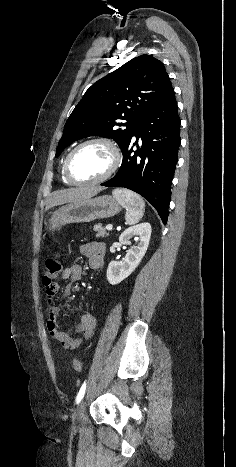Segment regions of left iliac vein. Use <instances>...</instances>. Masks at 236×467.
<instances>
[{"label":"left iliac vein","instance_id":"1","mask_svg":"<svg viewBox=\"0 0 236 467\" xmlns=\"http://www.w3.org/2000/svg\"><path fill=\"white\" fill-rule=\"evenodd\" d=\"M86 408V400L80 402L73 414V423L75 425L81 424L83 421L84 413Z\"/></svg>","mask_w":236,"mask_h":467}]
</instances>
